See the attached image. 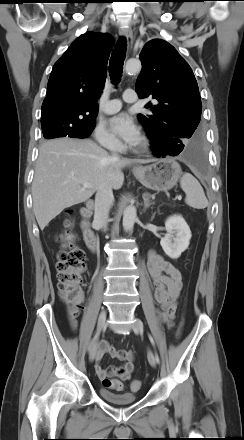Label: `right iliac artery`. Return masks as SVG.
Here are the masks:
<instances>
[{
    "mask_svg": "<svg viewBox=\"0 0 244 440\" xmlns=\"http://www.w3.org/2000/svg\"><path fill=\"white\" fill-rule=\"evenodd\" d=\"M98 335H99V333L97 332V333L95 334L94 338L92 339V341H91L89 347H88V351H91L92 346H93V344H94V341H95V339L97 338Z\"/></svg>",
    "mask_w": 244,
    "mask_h": 440,
    "instance_id": "obj_1",
    "label": "right iliac artery"
}]
</instances>
